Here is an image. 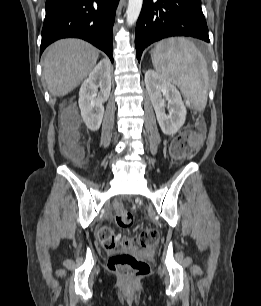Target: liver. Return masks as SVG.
I'll list each match as a JSON object with an SVG mask.
<instances>
[{
  "mask_svg": "<svg viewBox=\"0 0 261 306\" xmlns=\"http://www.w3.org/2000/svg\"><path fill=\"white\" fill-rule=\"evenodd\" d=\"M98 50L79 39H63L48 47L43 74L49 92L63 97L75 89L96 65Z\"/></svg>",
  "mask_w": 261,
  "mask_h": 306,
  "instance_id": "1",
  "label": "liver"
}]
</instances>
